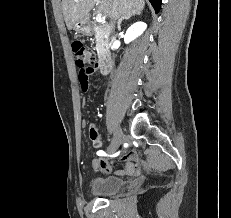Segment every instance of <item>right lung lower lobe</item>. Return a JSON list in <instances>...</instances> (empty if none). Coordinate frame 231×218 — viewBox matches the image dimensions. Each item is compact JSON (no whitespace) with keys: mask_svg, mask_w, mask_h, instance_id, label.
Instances as JSON below:
<instances>
[{"mask_svg":"<svg viewBox=\"0 0 231 218\" xmlns=\"http://www.w3.org/2000/svg\"><path fill=\"white\" fill-rule=\"evenodd\" d=\"M149 1L151 2L152 6L154 7L156 13H158L162 0H149Z\"/></svg>","mask_w":231,"mask_h":218,"instance_id":"obj_1","label":"right lung lower lobe"}]
</instances>
